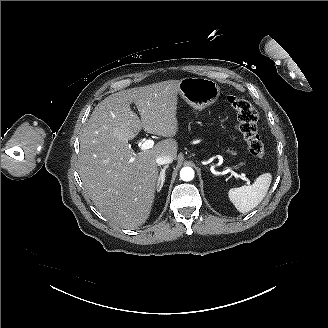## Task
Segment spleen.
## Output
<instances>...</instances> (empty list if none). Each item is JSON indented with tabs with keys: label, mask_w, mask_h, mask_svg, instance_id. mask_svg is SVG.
Masks as SVG:
<instances>
[{
	"label": "spleen",
	"mask_w": 328,
	"mask_h": 328,
	"mask_svg": "<svg viewBox=\"0 0 328 328\" xmlns=\"http://www.w3.org/2000/svg\"><path fill=\"white\" fill-rule=\"evenodd\" d=\"M271 181L272 175L264 173L252 185L230 189L228 197L239 212H249L258 206L267 195Z\"/></svg>",
	"instance_id": "1"
}]
</instances>
